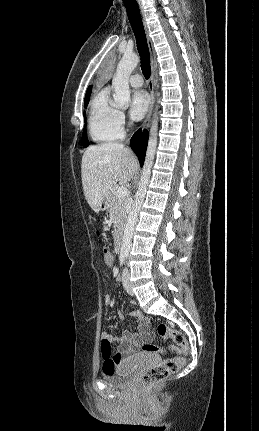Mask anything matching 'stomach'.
Segmentation results:
<instances>
[{
    "instance_id": "0dacf381",
    "label": "stomach",
    "mask_w": 259,
    "mask_h": 431,
    "mask_svg": "<svg viewBox=\"0 0 259 431\" xmlns=\"http://www.w3.org/2000/svg\"><path fill=\"white\" fill-rule=\"evenodd\" d=\"M108 208V198L107 200H104L102 204L100 205V210H106Z\"/></svg>"
}]
</instances>
